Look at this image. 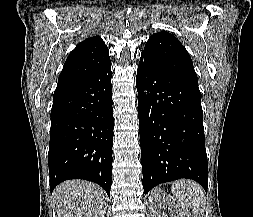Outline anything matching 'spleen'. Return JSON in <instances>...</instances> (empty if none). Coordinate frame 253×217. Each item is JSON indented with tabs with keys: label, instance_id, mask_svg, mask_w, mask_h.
Masks as SVG:
<instances>
[{
	"label": "spleen",
	"instance_id": "spleen-1",
	"mask_svg": "<svg viewBox=\"0 0 253 217\" xmlns=\"http://www.w3.org/2000/svg\"><path fill=\"white\" fill-rule=\"evenodd\" d=\"M171 191L179 203H186L192 209L194 217H203L205 192L198 183L185 179L178 180L172 184Z\"/></svg>",
	"mask_w": 253,
	"mask_h": 217
}]
</instances>
